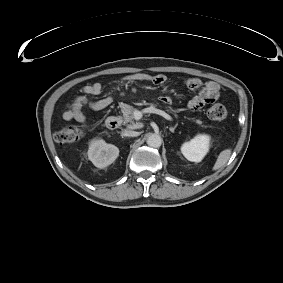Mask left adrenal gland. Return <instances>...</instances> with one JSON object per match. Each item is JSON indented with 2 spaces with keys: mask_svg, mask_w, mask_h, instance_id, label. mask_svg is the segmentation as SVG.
Wrapping results in <instances>:
<instances>
[{
  "mask_svg": "<svg viewBox=\"0 0 283 283\" xmlns=\"http://www.w3.org/2000/svg\"><path fill=\"white\" fill-rule=\"evenodd\" d=\"M177 126H178V123H176L174 127H170L169 130H170L172 133H174V131H175V129L177 128Z\"/></svg>",
  "mask_w": 283,
  "mask_h": 283,
  "instance_id": "obj_1",
  "label": "left adrenal gland"
}]
</instances>
